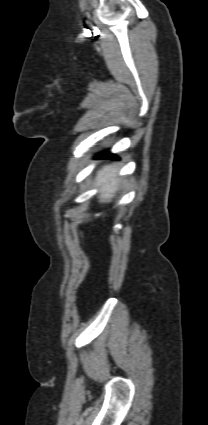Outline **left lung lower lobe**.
<instances>
[{"mask_svg": "<svg viewBox=\"0 0 208 425\" xmlns=\"http://www.w3.org/2000/svg\"><path fill=\"white\" fill-rule=\"evenodd\" d=\"M106 157H109V158H112V159H115V160H118L119 159L116 155H114V154H112L110 152L100 153L97 158H106Z\"/></svg>", "mask_w": 208, "mask_h": 425, "instance_id": "left-lung-lower-lobe-1", "label": "left lung lower lobe"}]
</instances>
